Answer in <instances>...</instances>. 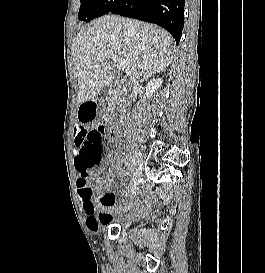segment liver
<instances>
[{"instance_id":"6515ba94","label":"liver","mask_w":265,"mask_h":273,"mask_svg":"<svg viewBox=\"0 0 265 273\" xmlns=\"http://www.w3.org/2000/svg\"><path fill=\"white\" fill-rule=\"evenodd\" d=\"M174 40L156 25L115 15H105L83 28L71 47L78 80L77 102L96 97L111 81L109 55L127 62L131 79H148L164 71L173 59ZM107 55L100 59V55Z\"/></svg>"}]
</instances>
